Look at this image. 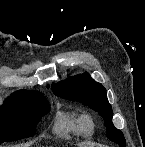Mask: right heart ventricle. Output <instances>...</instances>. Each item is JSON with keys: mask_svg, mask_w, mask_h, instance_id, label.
I'll return each mask as SVG.
<instances>
[{"mask_svg": "<svg viewBox=\"0 0 145 147\" xmlns=\"http://www.w3.org/2000/svg\"><path fill=\"white\" fill-rule=\"evenodd\" d=\"M53 130L60 137L90 136L92 126L88 123L86 116L72 109L57 111L54 118Z\"/></svg>", "mask_w": 145, "mask_h": 147, "instance_id": "obj_1", "label": "right heart ventricle"}]
</instances>
